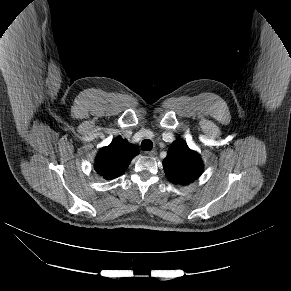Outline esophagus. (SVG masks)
Returning <instances> with one entry per match:
<instances>
[{
	"instance_id": "obj_1",
	"label": "esophagus",
	"mask_w": 291,
	"mask_h": 291,
	"mask_svg": "<svg viewBox=\"0 0 291 291\" xmlns=\"http://www.w3.org/2000/svg\"><path fill=\"white\" fill-rule=\"evenodd\" d=\"M146 154L148 155V156H155L156 154H157V152H156V150H152V151H150V152H146Z\"/></svg>"
}]
</instances>
